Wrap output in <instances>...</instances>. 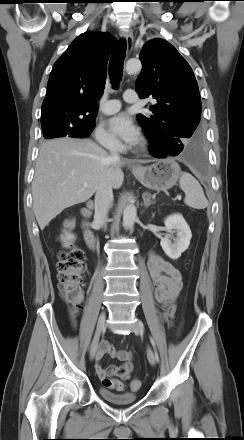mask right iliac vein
Listing matches in <instances>:
<instances>
[{"mask_svg": "<svg viewBox=\"0 0 244 440\" xmlns=\"http://www.w3.org/2000/svg\"><path fill=\"white\" fill-rule=\"evenodd\" d=\"M105 320H106V315L104 312H102L100 314L98 322H97L96 335H95V338L93 340V344H92V347L90 350V359L91 360H93L95 358V355L97 352V347H98L99 336L105 326Z\"/></svg>", "mask_w": 244, "mask_h": 440, "instance_id": "1", "label": "right iliac vein"}]
</instances>
